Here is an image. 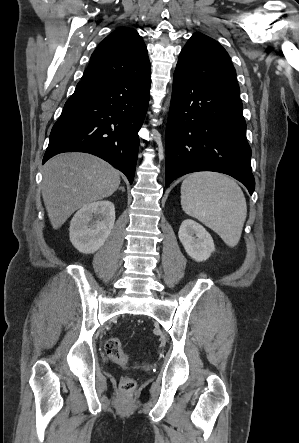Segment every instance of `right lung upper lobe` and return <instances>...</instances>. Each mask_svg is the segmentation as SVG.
<instances>
[{
    "mask_svg": "<svg viewBox=\"0 0 299 443\" xmlns=\"http://www.w3.org/2000/svg\"><path fill=\"white\" fill-rule=\"evenodd\" d=\"M151 73L147 48L131 28H119L98 45L81 81H107L143 77Z\"/></svg>",
    "mask_w": 299,
    "mask_h": 443,
    "instance_id": "1",
    "label": "right lung upper lobe"
}]
</instances>
